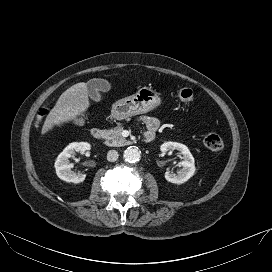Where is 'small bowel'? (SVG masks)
<instances>
[{
	"instance_id": "small-bowel-1",
	"label": "small bowel",
	"mask_w": 272,
	"mask_h": 272,
	"mask_svg": "<svg viewBox=\"0 0 272 272\" xmlns=\"http://www.w3.org/2000/svg\"><path fill=\"white\" fill-rule=\"evenodd\" d=\"M142 124L144 126V135L148 133H155L159 127V121L154 117H144L142 119Z\"/></svg>"
}]
</instances>
